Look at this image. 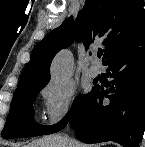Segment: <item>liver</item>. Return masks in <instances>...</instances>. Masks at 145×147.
Listing matches in <instances>:
<instances>
[{
    "label": "liver",
    "instance_id": "obj_1",
    "mask_svg": "<svg viewBox=\"0 0 145 147\" xmlns=\"http://www.w3.org/2000/svg\"><path fill=\"white\" fill-rule=\"evenodd\" d=\"M25 147H94V146H87L76 140H71V139H69V142L66 143L64 138L60 135H48L40 139H37L35 141H32Z\"/></svg>",
    "mask_w": 145,
    "mask_h": 147
}]
</instances>
